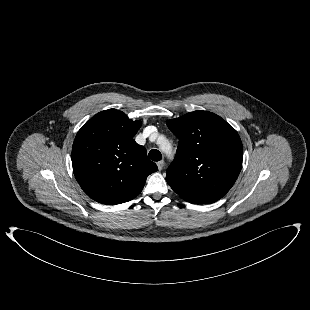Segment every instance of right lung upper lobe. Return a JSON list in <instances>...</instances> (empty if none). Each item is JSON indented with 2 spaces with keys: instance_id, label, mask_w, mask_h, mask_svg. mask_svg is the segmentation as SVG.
Masks as SVG:
<instances>
[{
  "instance_id": "1",
  "label": "right lung upper lobe",
  "mask_w": 310,
  "mask_h": 310,
  "mask_svg": "<svg viewBox=\"0 0 310 310\" xmlns=\"http://www.w3.org/2000/svg\"><path fill=\"white\" fill-rule=\"evenodd\" d=\"M140 127L141 121L108 109L78 131L72 147L74 175L96 202L115 205L132 200L142 191L147 176L157 171L146 149L133 139Z\"/></svg>"
}]
</instances>
